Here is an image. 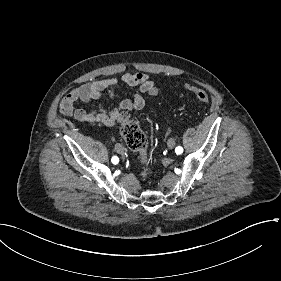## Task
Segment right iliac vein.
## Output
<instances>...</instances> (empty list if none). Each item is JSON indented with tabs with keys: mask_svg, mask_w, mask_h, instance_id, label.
<instances>
[{
	"mask_svg": "<svg viewBox=\"0 0 281 281\" xmlns=\"http://www.w3.org/2000/svg\"><path fill=\"white\" fill-rule=\"evenodd\" d=\"M115 150H116V152L122 154V153H123V147H122V145H121V144H116V145H115Z\"/></svg>",
	"mask_w": 281,
	"mask_h": 281,
	"instance_id": "63e3f726",
	"label": "right iliac vein"
}]
</instances>
